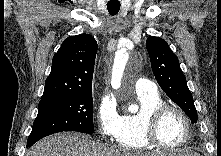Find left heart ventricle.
<instances>
[{
  "label": "left heart ventricle",
  "instance_id": "b2bd125f",
  "mask_svg": "<svg viewBox=\"0 0 221 156\" xmlns=\"http://www.w3.org/2000/svg\"><path fill=\"white\" fill-rule=\"evenodd\" d=\"M185 134L186 128L182 118L174 111L167 112L158 129L160 141L166 146L176 147L184 140Z\"/></svg>",
  "mask_w": 221,
  "mask_h": 156
}]
</instances>
